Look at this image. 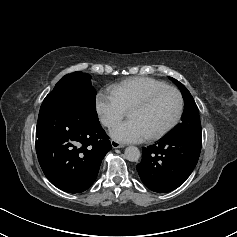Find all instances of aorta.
<instances>
[{
	"label": "aorta",
	"instance_id": "762f6f07",
	"mask_svg": "<svg viewBox=\"0 0 237 237\" xmlns=\"http://www.w3.org/2000/svg\"><path fill=\"white\" fill-rule=\"evenodd\" d=\"M140 151L137 147L135 146H129L125 149L124 156L125 159L131 162H136L140 158Z\"/></svg>",
	"mask_w": 237,
	"mask_h": 237
}]
</instances>
